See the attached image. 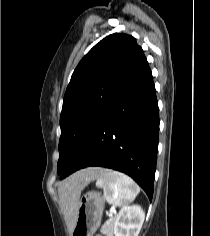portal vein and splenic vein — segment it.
Here are the masks:
<instances>
[{
	"mask_svg": "<svg viewBox=\"0 0 210 236\" xmlns=\"http://www.w3.org/2000/svg\"><path fill=\"white\" fill-rule=\"evenodd\" d=\"M113 211H114V209L110 210V213H109L110 216H112Z\"/></svg>",
	"mask_w": 210,
	"mask_h": 236,
	"instance_id": "1",
	"label": "portal vein and splenic vein"
}]
</instances>
